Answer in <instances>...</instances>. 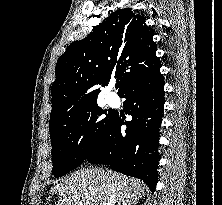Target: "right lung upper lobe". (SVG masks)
<instances>
[{
    "instance_id": "obj_1",
    "label": "right lung upper lobe",
    "mask_w": 222,
    "mask_h": 205,
    "mask_svg": "<svg viewBox=\"0 0 222 205\" xmlns=\"http://www.w3.org/2000/svg\"><path fill=\"white\" fill-rule=\"evenodd\" d=\"M131 8L112 12L92 33L71 43L57 61L51 87L50 123L97 104L111 76L118 95L132 82L161 67L153 30Z\"/></svg>"
}]
</instances>
